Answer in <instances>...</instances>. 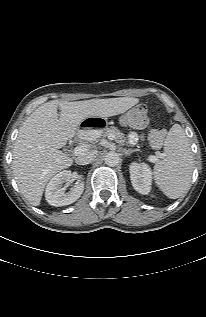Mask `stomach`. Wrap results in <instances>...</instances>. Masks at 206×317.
Listing matches in <instances>:
<instances>
[{
	"label": "stomach",
	"mask_w": 206,
	"mask_h": 317,
	"mask_svg": "<svg viewBox=\"0 0 206 317\" xmlns=\"http://www.w3.org/2000/svg\"><path fill=\"white\" fill-rule=\"evenodd\" d=\"M117 123L116 116L112 114L101 117H88L77 124L75 133L78 138L86 142H94L99 139L103 130L107 131L110 127H116Z\"/></svg>",
	"instance_id": "stomach-1"
}]
</instances>
